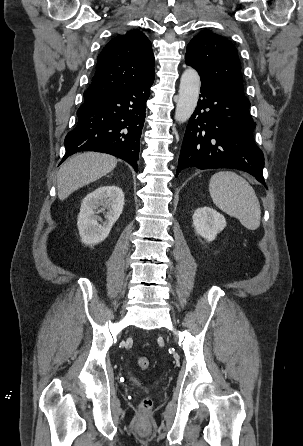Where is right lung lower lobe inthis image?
I'll return each instance as SVG.
<instances>
[{"label":"right lung lower lobe","mask_w":303,"mask_h":446,"mask_svg":"<svg viewBox=\"0 0 303 446\" xmlns=\"http://www.w3.org/2000/svg\"><path fill=\"white\" fill-rule=\"evenodd\" d=\"M153 81L151 78L85 100L77 111L76 128L66 135L61 163L74 153L97 151L121 158L137 170L146 101Z\"/></svg>","instance_id":"1"}]
</instances>
